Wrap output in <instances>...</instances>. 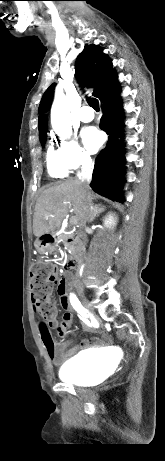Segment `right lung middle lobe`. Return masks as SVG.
Returning <instances> with one entry per match:
<instances>
[{"instance_id":"dd1d6c3e","label":"right lung middle lobe","mask_w":165,"mask_h":461,"mask_svg":"<svg viewBox=\"0 0 165 461\" xmlns=\"http://www.w3.org/2000/svg\"><path fill=\"white\" fill-rule=\"evenodd\" d=\"M46 136H47V135L44 134V135H42V136L40 137V141H41L42 146H44V144H45Z\"/></svg>"}]
</instances>
